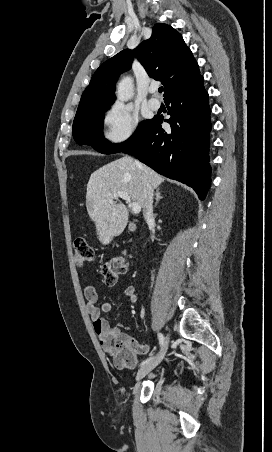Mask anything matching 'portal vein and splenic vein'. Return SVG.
I'll use <instances>...</instances> for the list:
<instances>
[{"mask_svg":"<svg viewBox=\"0 0 272 452\" xmlns=\"http://www.w3.org/2000/svg\"><path fill=\"white\" fill-rule=\"evenodd\" d=\"M114 197H120L121 199L125 200L127 203H129V207L132 209V212L135 214L140 213L141 211V207L138 203L136 202H132L130 200V197L128 195V193L123 192V191H118L116 193L113 194Z\"/></svg>","mask_w":272,"mask_h":452,"instance_id":"obj_1","label":"portal vein and splenic vein"}]
</instances>
